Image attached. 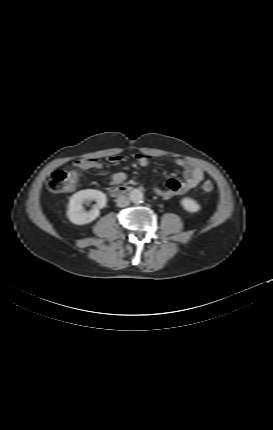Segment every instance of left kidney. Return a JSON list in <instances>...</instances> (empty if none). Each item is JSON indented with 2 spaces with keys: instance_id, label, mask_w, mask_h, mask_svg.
I'll use <instances>...</instances> for the list:
<instances>
[{
  "instance_id": "1",
  "label": "left kidney",
  "mask_w": 273,
  "mask_h": 430,
  "mask_svg": "<svg viewBox=\"0 0 273 430\" xmlns=\"http://www.w3.org/2000/svg\"><path fill=\"white\" fill-rule=\"evenodd\" d=\"M182 207L191 213L197 212L200 210L201 206L194 199L185 197L181 200Z\"/></svg>"
}]
</instances>
